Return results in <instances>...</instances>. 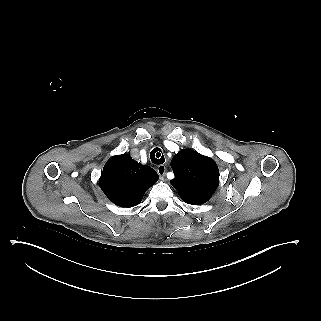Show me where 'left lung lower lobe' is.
I'll list each match as a JSON object with an SVG mask.
<instances>
[{"instance_id":"0a47b994","label":"left lung lower lobe","mask_w":321,"mask_h":321,"mask_svg":"<svg viewBox=\"0 0 321 321\" xmlns=\"http://www.w3.org/2000/svg\"><path fill=\"white\" fill-rule=\"evenodd\" d=\"M206 201H208V200H206ZM206 201H203V202H201V203H197V204H194V205H200V204L205 203Z\"/></svg>"}]
</instances>
